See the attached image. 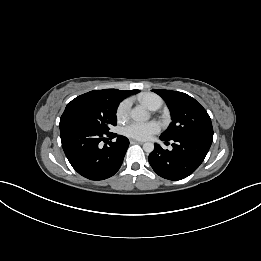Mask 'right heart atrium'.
Wrapping results in <instances>:
<instances>
[{"label": "right heart atrium", "mask_w": 261, "mask_h": 261, "mask_svg": "<svg viewBox=\"0 0 261 261\" xmlns=\"http://www.w3.org/2000/svg\"><path fill=\"white\" fill-rule=\"evenodd\" d=\"M128 109H129V101L128 100L122 101L116 110L117 118L119 120L125 119V117L127 116V113H128Z\"/></svg>", "instance_id": "right-heart-atrium-1"}]
</instances>
